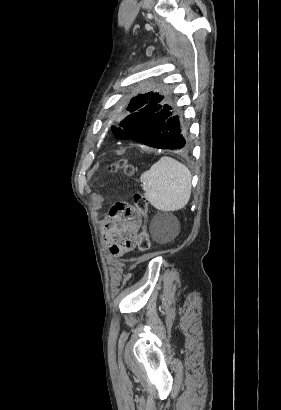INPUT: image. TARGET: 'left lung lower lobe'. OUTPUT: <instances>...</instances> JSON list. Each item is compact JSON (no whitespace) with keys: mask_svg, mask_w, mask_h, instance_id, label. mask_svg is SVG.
Segmentation results:
<instances>
[{"mask_svg":"<svg viewBox=\"0 0 281 410\" xmlns=\"http://www.w3.org/2000/svg\"><path fill=\"white\" fill-rule=\"evenodd\" d=\"M120 139H132L159 149L186 151L190 148L186 127L172 107L165 104V97L155 93L148 103L120 122Z\"/></svg>","mask_w":281,"mask_h":410,"instance_id":"obj_1","label":"left lung lower lobe"}]
</instances>
